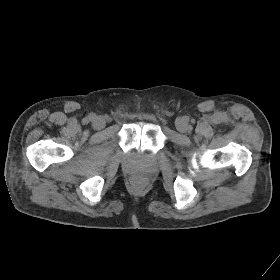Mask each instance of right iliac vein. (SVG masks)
I'll return each mask as SVG.
<instances>
[{"mask_svg": "<svg viewBox=\"0 0 280 280\" xmlns=\"http://www.w3.org/2000/svg\"><path fill=\"white\" fill-rule=\"evenodd\" d=\"M105 124H106V122H105L104 118L101 116L95 117L92 122V126L97 130L104 128Z\"/></svg>", "mask_w": 280, "mask_h": 280, "instance_id": "right-iliac-vein-1", "label": "right iliac vein"}]
</instances>
